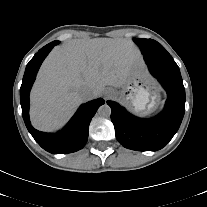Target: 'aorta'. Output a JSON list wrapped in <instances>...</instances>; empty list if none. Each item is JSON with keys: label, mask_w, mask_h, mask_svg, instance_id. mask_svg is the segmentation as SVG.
<instances>
[{"label": "aorta", "mask_w": 207, "mask_h": 207, "mask_svg": "<svg viewBox=\"0 0 207 207\" xmlns=\"http://www.w3.org/2000/svg\"><path fill=\"white\" fill-rule=\"evenodd\" d=\"M98 114L102 117H109L111 115V108L109 105L104 104L98 108Z\"/></svg>", "instance_id": "762f6f07"}]
</instances>
